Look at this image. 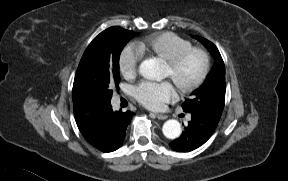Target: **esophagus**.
I'll return each mask as SVG.
<instances>
[{
	"label": "esophagus",
	"instance_id": "1",
	"mask_svg": "<svg viewBox=\"0 0 288 181\" xmlns=\"http://www.w3.org/2000/svg\"><path fill=\"white\" fill-rule=\"evenodd\" d=\"M154 115H155L156 118H158L159 120H165V119L168 118V116L165 115V114L154 113Z\"/></svg>",
	"mask_w": 288,
	"mask_h": 181
}]
</instances>
